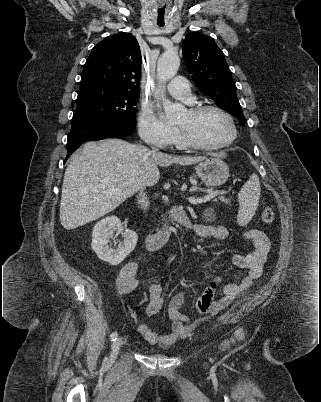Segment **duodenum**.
Instances as JSON below:
<instances>
[{"label": "duodenum", "instance_id": "duodenum-1", "mask_svg": "<svg viewBox=\"0 0 321 402\" xmlns=\"http://www.w3.org/2000/svg\"><path fill=\"white\" fill-rule=\"evenodd\" d=\"M186 214L182 209L175 208L171 210L165 219V224L154 233H149L145 238V245L148 250H157L163 247L169 240L171 235V225L177 222L184 223Z\"/></svg>", "mask_w": 321, "mask_h": 402}]
</instances>
